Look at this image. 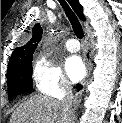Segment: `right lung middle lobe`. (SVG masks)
Here are the masks:
<instances>
[{"instance_id":"1","label":"right lung middle lobe","mask_w":122,"mask_h":123,"mask_svg":"<svg viewBox=\"0 0 122 123\" xmlns=\"http://www.w3.org/2000/svg\"><path fill=\"white\" fill-rule=\"evenodd\" d=\"M9 100L20 93L33 92L32 87V58L24 61L19 66L8 70L7 73Z\"/></svg>"}]
</instances>
